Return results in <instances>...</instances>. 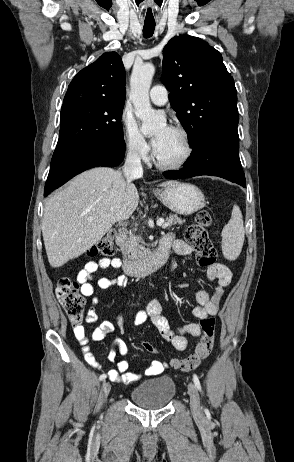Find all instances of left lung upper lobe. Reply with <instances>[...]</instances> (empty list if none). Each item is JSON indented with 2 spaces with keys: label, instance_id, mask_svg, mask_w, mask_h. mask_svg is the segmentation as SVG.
Here are the masks:
<instances>
[{
  "label": "left lung upper lobe",
  "instance_id": "1",
  "mask_svg": "<svg viewBox=\"0 0 294 462\" xmlns=\"http://www.w3.org/2000/svg\"><path fill=\"white\" fill-rule=\"evenodd\" d=\"M163 55L162 82L192 147L215 125L238 115L234 80L221 54L200 38L174 37Z\"/></svg>",
  "mask_w": 294,
  "mask_h": 462
}]
</instances>
